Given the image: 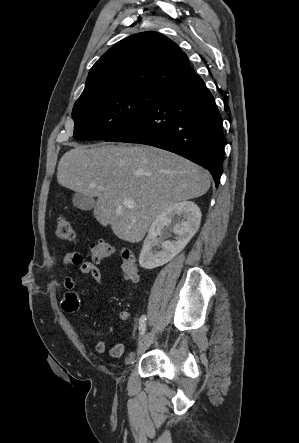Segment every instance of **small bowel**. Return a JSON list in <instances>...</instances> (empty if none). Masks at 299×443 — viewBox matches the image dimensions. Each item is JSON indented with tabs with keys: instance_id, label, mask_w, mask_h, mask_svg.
<instances>
[{
	"instance_id": "obj_1",
	"label": "small bowel",
	"mask_w": 299,
	"mask_h": 443,
	"mask_svg": "<svg viewBox=\"0 0 299 443\" xmlns=\"http://www.w3.org/2000/svg\"><path fill=\"white\" fill-rule=\"evenodd\" d=\"M63 262L65 264L79 266V270L82 275H90L97 284L102 283V273L100 269L95 264L84 261L83 256L80 253L75 252L65 254L63 256ZM79 282L80 278L78 276L66 277L64 279L63 286L68 292L66 293V296L62 302V308L66 312H75L79 308V296L73 291ZM120 317L123 320H127L131 317V314L124 311L120 314ZM94 349L98 354H105L108 351L107 344L102 340L95 342ZM110 353L113 357L120 358L125 353V346L122 343H116L111 347ZM130 359L131 355L128 356V360Z\"/></svg>"
}]
</instances>
